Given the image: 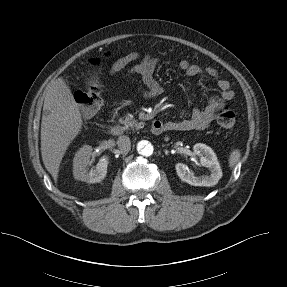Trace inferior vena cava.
I'll use <instances>...</instances> for the list:
<instances>
[{
  "instance_id": "1",
  "label": "inferior vena cava",
  "mask_w": 287,
  "mask_h": 287,
  "mask_svg": "<svg viewBox=\"0 0 287 287\" xmlns=\"http://www.w3.org/2000/svg\"><path fill=\"white\" fill-rule=\"evenodd\" d=\"M117 145L122 152H128L131 149L130 138L125 135L118 137Z\"/></svg>"
}]
</instances>
